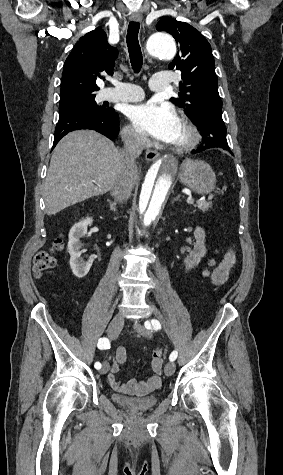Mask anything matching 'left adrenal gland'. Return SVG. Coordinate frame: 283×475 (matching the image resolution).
<instances>
[{
  "label": "left adrenal gland",
  "mask_w": 283,
  "mask_h": 475,
  "mask_svg": "<svg viewBox=\"0 0 283 475\" xmlns=\"http://www.w3.org/2000/svg\"><path fill=\"white\" fill-rule=\"evenodd\" d=\"M179 198H180V196H177V198H173L172 204H174V202H178Z\"/></svg>",
  "instance_id": "a2214340"
}]
</instances>
